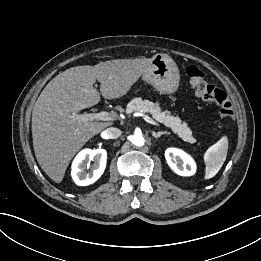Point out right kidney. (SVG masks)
Wrapping results in <instances>:
<instances>
[{"mask_svg":"<svg viewBox=\"0 0 261 261\" xmlns=\"http://www.w3.org/2000/svg\"><path fill=\"white\" fill-rule=\"evenodd\" d=\"M87 159L94 164L89 167ZM107 161V152L104 149H84L78 153L72 163L71 176L78 186H87L97 181L103 174ZM90 171L87 172L86 169Z\"/></svg>","mask_w":261,"mask_h":261,"instance_id":"right-kidney-1","label":"right kidney"}]
</instances>
